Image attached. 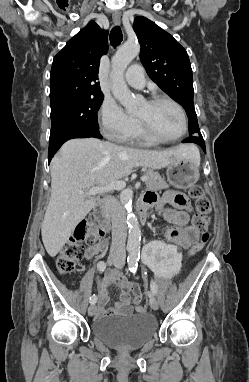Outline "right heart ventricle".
I'll return each mask as SVG.
<instances>
[{
	"label": "right heart ventricle",
	"instance_id": "e07e8e85",
	"mask_svg": "<svg viewBox=\"0 0 249 382\" xmlns=\"http://www.w3.org/2000/svg\"><path fill=\"white\" fill-rule=\"evenodd\" d=\"M130 141H137L139 143H142V144H153L155 143L154 141L146 138L143 133L141 132L140 130V127L138 126V129L137 131L135 132V134L130 138Z\"/></svg>",
	"mask_w": 249,
	"mask_h": 382
}]
</instances>
